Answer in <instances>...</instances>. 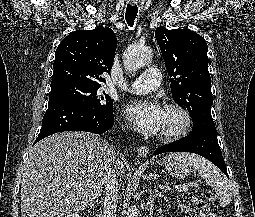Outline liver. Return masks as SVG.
<instances>
[{
  "label": "liver",
  "instance_id": "obj_1",
  "mask_svg": "<svg viewBox=\"0 0 255 217\" xmlns=\"http://www.w3.org/2000/svg\"><path fill=\"white\" fill-rule=\"evenodd\" d=\"M113 147L96 134L61 132L29 151L21 181L22 217H64L98 202L113 161Z\"/></svg>",
  "mask_w": 255,
  "mask_h": 217
}]
</instances>
